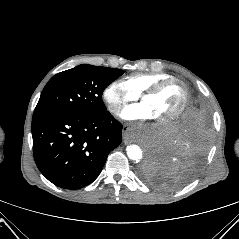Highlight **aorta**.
Returning <instances> with one entry per match:
<instances>
[{
    "mask_svg": "<svg viewBox=\"0 0 239 239\" xmlns=\"http://www.w3.org/2000/svg\"><path fill=\"white\" fill-rule=\"evenodd\" d=\"M126 151L128 158L136 162L140 161L143 157V152L138 145L135 144L128 145Z\"/></svg>",
    "mask_w": 239,
    "mask_h": 239,
    "instance_id": "obj_1",
    "label": "aorta"
}]
</instances>
